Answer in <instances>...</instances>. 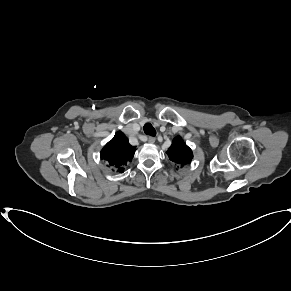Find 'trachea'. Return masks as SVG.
<instances>
[{
  "instance_id": "obj_1",
  "label": "trachea",
  "mask_w": 291,
  "mask_h": 291,
  "mask_svg": "<svg viewBox=\"0 0 291 291\" xmlns=\"http://www.w3.org/2000/svg\"><path fill=\"white\" fill-rule=\"evenodd\" d=\"M144 132L147 135L156 136V131H155L154 127L152 126V124H150V123H146L144 125Z\"/></svg>"
}]
</instances>
